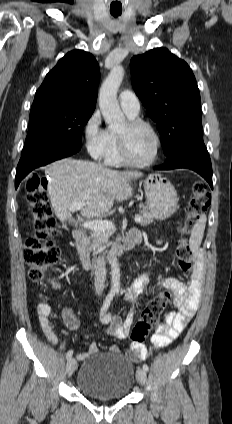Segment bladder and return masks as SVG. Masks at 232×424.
Segmentation results:
<instances>
[{"instance_id": "31cf9c89", "label": "bladder", "mask_w": 232, "mask_h": 424, "mask_svg": "<svg viewBox=\"0 0 232 424\" xmlns=\"http://www.w3.org/2000/svg\"><path fill=\"white\" fill-rule=\"evenodd\" d=\"M135 367L120 353H101L87 358L77 376L78 389L90 398L122 399L135 384Z\"/></svg>"}]
</instances>
